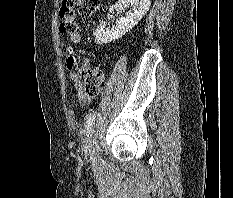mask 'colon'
<instances>
[{
	"instance_id": "obj_1",
	"label": "colon",
	"mask_w": 233,
	"mask_h": 198,
	"mask_svg": "<svg viewBox=\"0 0 233 198\" xmlns=\"http://www.w3.org/2000/svg\"><path fill=\"white\" fill-rule=\"evenodd\" d=\"M99 0H62L59 10L60 31L66 34L71 42L79 40V23L77 16H92L99 8ZM71 79L82 92L95 95L104 80V73L99 68L77 67V59L69 56L66 60Z\"/></svg>"
}]
</instances>
